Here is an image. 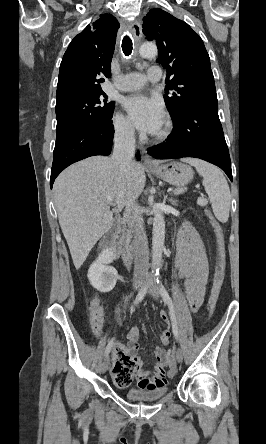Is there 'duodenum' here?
Returning a JSON list of instances; mask_svg holds the SVG:
<instances>
[{
    "mask_svg": "<svg viewBox=\"0 0 266 444\" xmlns=\"http://www.w3.org/2000/svg\"><path fill=\"white\" fill-rule=\"evenodd\" d=\"M114 240L118 256L122 260L123 264L129 266L130 256L129 253L124 248V225L122 221H118L115 227Z\"/></svg>",
    "mask_w": 266,
    "mask_h": 444,
    "instance_id": "1",
    "label": "duodenum"
}]
</instances>
